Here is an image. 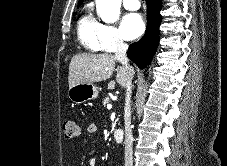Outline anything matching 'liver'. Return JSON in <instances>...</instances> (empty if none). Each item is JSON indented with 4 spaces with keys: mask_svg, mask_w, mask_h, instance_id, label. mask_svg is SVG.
Segmentation results:
<instances>
[{
    "mask_svg": "<svg viewBox=\"0 0 227 166\" xmlns=\"http://www.w3.org/2000/svg\"><path fill=\"white\" fill-rule=\"evenodd\" d=\"M115 63L116 58L108 53H83L73 56L69 64V88L78 83H95L109 79L115 69ZM125 80L124 68L120 67L117 69L116 82L124 86ZM114 85V81L110 82L109 88Z\"/></svg>",
    "mask_w": 227,
    "mask_h": 166,
    "instance_id": "1",
    "label": "liver"
}]
</instances>
